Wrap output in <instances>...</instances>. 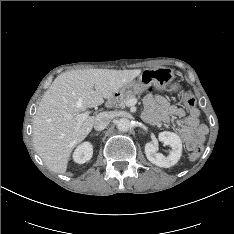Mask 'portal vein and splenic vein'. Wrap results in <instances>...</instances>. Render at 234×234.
<instances>
[{"label": "portal vein and splenic vein", "instance_id": "1", "mask_svg": "<svg viewBox=\"0 0 234 234\" xmlns=\"http://www.w3.org/2000/svg\"><path fill=\"white\" fill-rule=\"evenodd\" d=\"M134 104H135V101H134L133 99H131V100H129V101L127 102V105H129V106H132V105H134ZM67 117L70 118L71 116L68 115ZM88 117H89V113H88V112H83V113L77 114V115L75 116V118H76V120L78 121V123L84 121V120L87 119Z\"/></svg>", "mask_w": 234, "mask_h": 234}]
</instances>
